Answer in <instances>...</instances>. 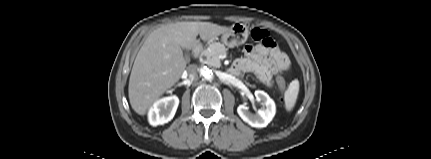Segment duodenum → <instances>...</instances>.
Returning <instances> with one entry per match:
<instances>
[{
    "instance_id": "1",
    "label": "duodenum",
    "mask_w": 431,
    "mask_h": 159,
    "mask_svg": "<svg viewBox=\"0 0 431 159\" xmlns=\"http://www.w3.org/2000/svg\"><path fill=\"white\" fill-rule=\"evenodd\" d=\"M201 50H202V45H201V44H197V45L193 48V50H192V55H193L194 57H197V56L199 55V53L201 52Z\"/></svg>"
}]
</instances>
